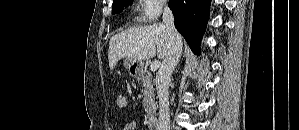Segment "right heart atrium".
I'll return each instance as SVG.
<instances>
[{"instance_id":"obj_1","label":"right heart atrium","mask_w":299,"mask_h":130,"mask_svg":"<svg viewBox=\"0 0 299 130\" xmlns=\"http://www.w3.org/2000/svg\"><path fill=\"white\" fill-rule=\"evenodd\" d=\"M165 5L164 0H144L141 5V18L146 22L156 20Z\"/></svg>"}]
</instances>
